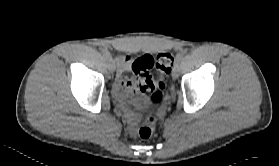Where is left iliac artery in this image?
<instances>
[{
  "instance_id": "44dca946",
  "label": "left iliac artery",
  "mask_w": 279,
  "mask_h": 166,
  "mask_svg": "<svg viewBox=\"0 0 279 166\" xmlns=\"http://www.w3.org/2000/svg\"><path fill=\"white\" fill-rule=\"evenodd\" d=\"M183 54H178L177 55V58H176V61H175V64H179V62L183 59Z\"/></svg>"
}]
</instances>
